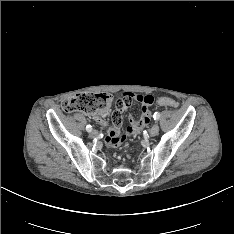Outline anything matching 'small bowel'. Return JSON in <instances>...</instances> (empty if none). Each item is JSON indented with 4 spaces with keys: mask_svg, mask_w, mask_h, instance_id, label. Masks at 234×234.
I'll use <instances>...</instances> for the list:
<instances>
[{
    "mask_svg": "<svg viewBox=\"0 0 234 234\" xmlns=\"http://www.w3.org/2000/svg\"><path fill=\"white\" fill-rule=\"evenodd\" d=\"M147 97H150L151 99ZM136 101L142 106V116L136 121L129 115V126L125 131V135H120V130L122 128V112L128 108L130 104ZM153 102L154 98L150 95L142 96L137 95L135 92L120 95L119 99L114 102L115 109L112 112V125H109L102 117H96V120L104 127L106 133L105 144L110 147H115L120 145L125 140L126 136L140 134L141 129L150 121L151 111L149 110V106H151Z\"/></svg>",
    "mask_w": 234,
    "mask_h": 234,
    "instance_id": "c3829d8e",
    "label": "small bowel"
}]
</instances>
